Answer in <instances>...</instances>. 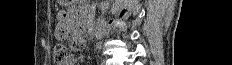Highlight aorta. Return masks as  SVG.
Wrapping results in <instances>:
<instances>
[{"label":"aorta","mask_w":232,"mask_h":65,"mask_svg":"<svg viewBox=\"0 0 232 65\" xmlns=\"http://www.w3.org/2000/svg\"><path fill=\"white\" fill-rule=\"evenodd\" d=\"M96 4L92 3L86 16V27L89 35H92L95 27ZM92 38V37H91Z\"/></svg>","instance_id":"obj_1"}]
</instances>
